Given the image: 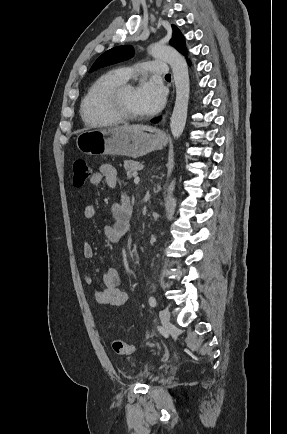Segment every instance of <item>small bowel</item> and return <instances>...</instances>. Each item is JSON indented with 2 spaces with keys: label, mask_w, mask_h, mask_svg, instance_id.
Segmentation results:
<instances>
[{
  "label": "small bowel",
  "mask_w": 287,
  "mask_h": 434,
  "mask_svg": "<svg viewBox=\"0 0 287 434\" xmlns=\"http://www.w3.org/2000/svg\"><path fill=\"white\" fill-rule=\"evenodd\" d=\"M90 183L93 186H99L105 183L108 187L115 188L118 186L119 179L115 167L111 164H102L99 170L94 172L90 177ZM131 204L129 198L121 194L119 200L112 204L111 213L113 217L112 224L103 226L105 238L112 243L121 242L128 232V205ZM83 215L86 219H92L96 215V206L94 203H87L83 209ZM83 256L87 259L93 258L94 248L90 243H84L82 247ZM83 282L88 287L94 286V278L91 274L85 273ZM121 277L115 267H108L102 275V287L95 288L93 291L94 300L100 305L121 306L127 299L128 294L119 289Z\"/></svg>",
  "instance_id": "small-bowel-1"
}]
</instances>
